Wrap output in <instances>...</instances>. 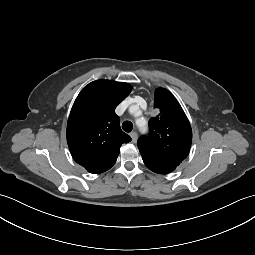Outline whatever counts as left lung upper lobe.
<instances>
[{"label":"left lung upper lobe","instance_id":"1","mask_svg":"<svg viewBox=\"0 0 255 255\" xmlns=\"http://www.w3.org/2000/svg\"><path fill=\"white\" fill-rule=\"evenodd\" d=\"M154 108L161 112L149 120L148 136L138 139V148L148 168L173 171L188 156L192 129L176 98L158 88Z\"/></svg>","mask_w":255,"mask_h":255}]
</instances>
